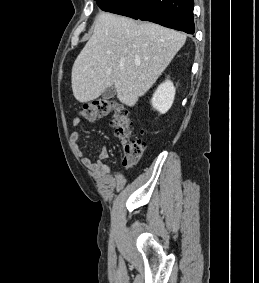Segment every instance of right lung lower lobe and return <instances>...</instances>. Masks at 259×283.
Instances as JSON below:
<instances>
[{"mask_svg":"<svg viewBox=\"0 0 259 283\" xmlns=\"http://www.w3.org/2000/svg\"><path fill=\"white\" fill-rule=\"evenodd\" d=\"M103 10L194 34L193 0H96Z\"/></svg>","mask_w":259,"mask_h":283,"instance_id":"1","label":"right lung lower lobe"}]
</instances>
